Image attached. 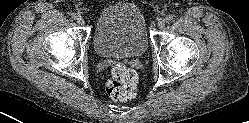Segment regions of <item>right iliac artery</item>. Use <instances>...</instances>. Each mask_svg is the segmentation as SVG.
<instances>
[{
    "instance_id": "right-iliac-artery-1",
    "label": "right iliac artery",
    "mask_w": 249,
    "mask_h": 123,
    "mask_svg": "<svg viewBox=\"0 0 249 123\" xmlns=\"http://www.w3.org/2000/svg\"><path fill=\"white\" fill-rule=\"evenodd\" d=\"M71 18H72L73 20H76V19L78 18V15H77L76 13H73V14L71 15Z\"/></svg>"
}]
</instances>
